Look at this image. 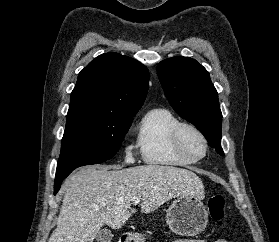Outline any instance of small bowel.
<instances>
[{
  "instance_id": "1",
  "label": "small bowel",
  "mask_w": 279,
  "mask_h": 242,
  "mask_svg": "<svg viewBox=\"0 0 279 242\" xmlns=\"http://www.w3.org/2000/svg\"><path fill=\"white\" fill-rule=\"evenodd\" d=\"M173 242H208L204 240H189V239H180V240H175ZM211 242H228L226 239H215Z\"/></svg>"
}]
</instances>
